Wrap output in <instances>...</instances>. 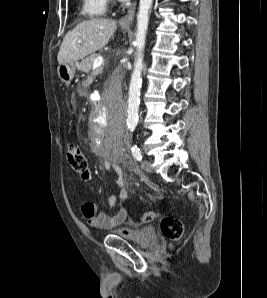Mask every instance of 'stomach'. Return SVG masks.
<instances>
[{
	"label": "stomach",
	"mask_w": 267,
	"mask_h": 298,
	"mask_svg": "<svg viewBox=\"0 0 267 298\" xmlns=\"http://www.w3.org/2000/svg\"><path fill=\"white\" fill-rule=\"evenodd\" d=\"M125 29V28H123ZM78 66L77 62H71L67 64H60L57 68V73L61 81L66 84H70L73 80L76 68Z\"/></svg>",
	"instance_id": "0dacf381"
}]
</instances>
